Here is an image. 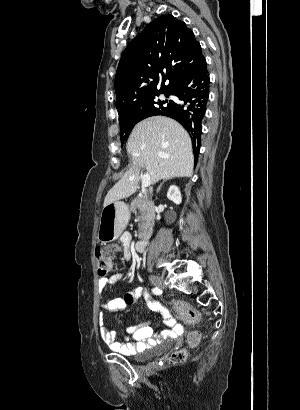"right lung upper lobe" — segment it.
I'll list each match as a JSON object with an SVG mask.
<instances>
[{
  "label": "right lung upper lobe",
  "mask_w": 300,
  "mask_h": 410,
  "mask_svg": "<svg viewBox=\"0 0 300 410\" xmlns=\"http://www.w3.org/2000/svg\"><path fill=\"white\" fill-rule=\"evenodd\" d=\"M203 58L186 24L172 15L151 22L124 50L115 76L119 121L138 116L143 101L175 82Z\"/></svg>",
  "instance_id": "1"
}]
</instances>
